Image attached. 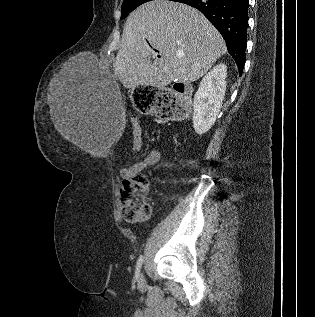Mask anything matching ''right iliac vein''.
Instances as JSON below:
<instances>
[{
  "label": "right iliac vein",
  "instance_id": "obj_1",
  "mask_svg": "<svg viewBox=\"0 0 315 317\" xmlns=\"http://www.w3.org/2000/svg\"><path fill=\"white\" fill-rule=\"evenodd\" d=\"M144 282H145V278H144L143 274H140V276H139V283H140V284H143Z\"/></svg>",
  "mask_w": 315,
  "mask_h": 317
}]
</instances>
